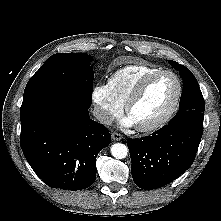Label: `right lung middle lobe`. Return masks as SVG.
Returning <instances> with one entry per match:
<instances>
[{
  "label": "right lung middle lobe",
  "mask_w": 221,
  "mask_h": 221,
  "mask_svg": "<svg viewBox=\"0 0 221 221\" xmlns=\"http://www.w3.org/2000/svg\"><path fill=\"white\" fill-rule=\"evenodd\" d=\"M86 54L52 55L30 78L20 109V117L38 104L55 98H67L90 107L94 72Z\"/></svg>",
  "instance_id": "dd1d6c3e"
}]
</instances>
